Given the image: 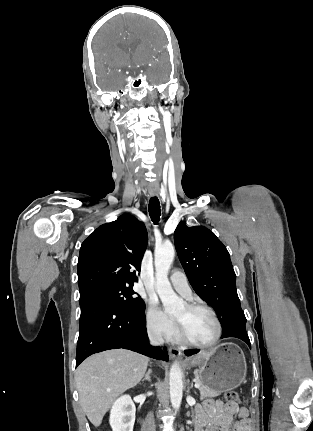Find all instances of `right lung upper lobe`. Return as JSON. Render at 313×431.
<instances>
[{"mask_svg": "<svg viewBox=\"0 0 313 431\" xmlns=\"http://www.w3.org/2000/svg\"><path fill=\"white\" fill-rule=\"evenodd\" d=\"M144 224L123 214L99 226L81 245L78 259L80 298L100 289L137 282L147 246Z\"/></svg>", "mask_w": 313, "mask_h": 431, "instance_id": "cb5924a9", "label": "right lung upper lobe"}]
</instances>
